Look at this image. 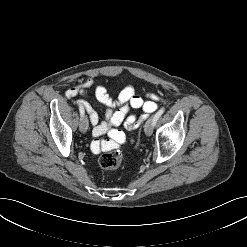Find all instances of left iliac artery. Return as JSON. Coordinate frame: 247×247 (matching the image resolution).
<instances>
[{"label": "left iliac artery", "instance_id": "obj_1", "mask_svg": "<svg viewBox=\"0 0 247 247\" xmlns=\"http://www.w3.org/2000/svg\"><path fill=\"white\" fill-rule=\"evenodd\" d=\"M165 108H161L153 117L154 125L156 124L157 120L161 117V115L164 113Z\"/></svg>", "mask_w": 247, "mask_h": 247}]
</instances>
